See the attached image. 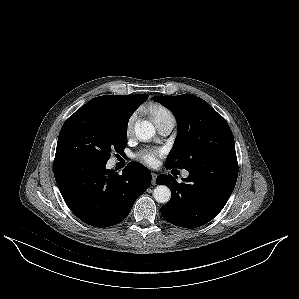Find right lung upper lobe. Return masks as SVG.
I'll return each instance as SVG.
<instances>
[{"mask_svg": "<svg viewBox=\"0 0 299 299\" xmlns=\"http://www.w3.org/2000/svg\"><path fill=\"white\" fill-rule=\"evenodd\" d=\"M147 94L139 95H105L99 96L86 103L84 106H100L116 109L122 113L131 114L141 105L146 99Z\"/></svg>", "mask_w": 299, "mask_h": 299, "instance_id": "right-lung-upper-lobe-1", "label": "right lung upper lobe"}]
</instances>
